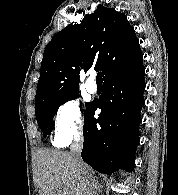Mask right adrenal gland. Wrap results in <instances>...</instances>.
<instances>
[{"label": "right adrenal gland", "instance_id": "1", "mask_svg": "<svg viewBox=\"0 0 178 195\" xmlns=\"http://www.w3.org/2000/svg\"><path fill=\"white\" fill-rule=\"evenodd\" d=\"M97 184H98V182L96 181V185ZM97 188H98V192L100 193L102 191V186L101 185H98Z\"/></svg>", "mask_w": 178, "mask_h": 195}]
</instances>
